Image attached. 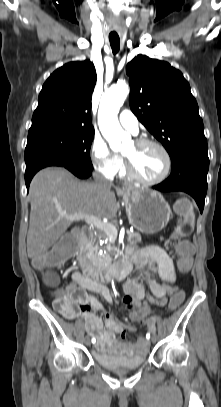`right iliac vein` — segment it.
Here are the masks:
<instances>
[{
  "instance_id": "63e3f726",
  "label": "right iliac vein",
  "mask_w": 221,
  "mask_h": 407,
  "mask_svg": "<svg viewBox=\"0 0 221 407\" xmlns=\"http://www.w3.org/2000/svg\"><path fill=\"white\" fill-rule=\"evenodd\" d=\"M84 343H85L87 346L90 345V338H89L88 336H86V337L84 338Z\"/></svg>"
}]
</instances>
